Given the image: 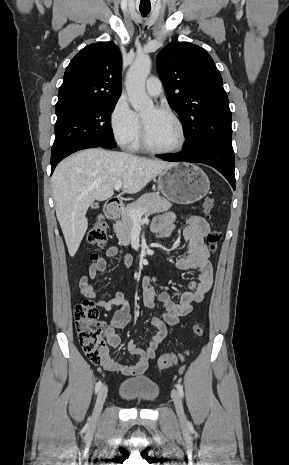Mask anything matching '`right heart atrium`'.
Returning a JSON list of instances; mask_svg holds the SVG:
<instances>
[{"mask_svg":"<svg viewBox=\"0 0 289 465\" xmlns=\"http://www.w3.org/2000/svg\"><path fill=\"white\" fill-rule=\"evenodd\" d=\"M109 124L113 138L123 147L131 146L141 133L140 117L123 97L113 105Z\"/></svg>","mask_w":289,"mask_h":465,"instance_id":"obj_1","label":"right heart atrium"}]
</instances>
